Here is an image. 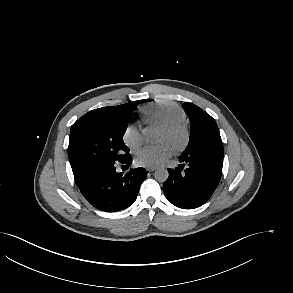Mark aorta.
Masks as SVG:
<instances>
[{
	"instance_id": "1",
	"label": "aorta",
	"mask_w": 293,
	"mask_h": 293,
	"mask_svg": "<svg viewBox=\"0 0 293 293\" xmlns=\"http://www.w3.org/2000/svg\"><path fill=\"white\" fill-rule=\"evenodd\" d=\"M143 133H144L145 139L148 142H153L157 138L156 134L151 130H144ZM168 176H169V173L167 169L165 168H159L155 171V179L159 182H165Z\"/></svg>"
}]
</instances>
